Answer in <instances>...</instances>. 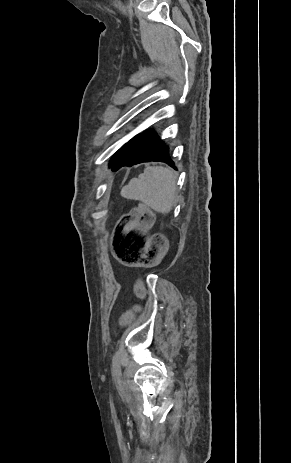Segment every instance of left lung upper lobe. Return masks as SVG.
<instances>
[{
    "mask_svg": "<svg viewBox=\"0 0 291 463\" xmlns=\"http://www.w3.org/2000/svg\"><path fill=\"white\" fill-rule=\"evenodd\" d=\"M152 131V129L145 131L143 134H138L134 138H132L129 142L123 145L113 156L114 158H121L124 155L131 152L133 149L138 147L146 138V136Z\"/></svg>",
    "mask_w": 291,
    "mask_h": 463,
    "instance_id": "1",
    "label": "left lung upper lobe"
}]
</instances>
